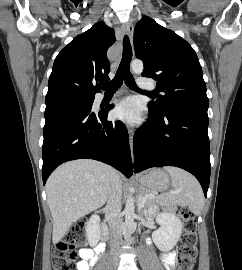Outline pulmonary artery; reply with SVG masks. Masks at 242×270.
Masks as SVG:
<instances>
[{"label": "pulmonary artery", "instance_id": "1", "mask_svg": "<svg viewBox=\"0 0 242 270\" xmlns=\"http://www.w3.org/2000/svg\"><path fill=\"white\" fill-rule=\"evenodd\" d=\"M138 87L141 89H152L154 87V85L151 82H149L148 80H146L145 78H139L138 79ZM118 94H120L119 91L114 93V96H116ZM103 99H104V96L101 95L99 97V100H103Z\"/></svg>", "mask_w": 242, "mask_h": 270}]
</instances>
